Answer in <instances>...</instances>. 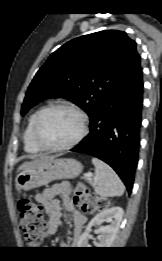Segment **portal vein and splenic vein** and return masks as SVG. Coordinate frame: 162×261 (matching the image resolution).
Instances as JSON below:
<instances>
[{"instance_id":"18ae733b","label":"portal vein and splenic vein","mask_w":162,"mask_h":261,"mask_svg":"<svg viewBox=\"0 0 162 261\" xmlns=\"http://www.w3.org/2000/svg\"><path fill=\"white\" fill-rule=\"evenodd\" d=\"M92 176L93 175L91 173H86L85 174V177L88 178L89 182H92V184H96L97 181L96 180L93 181L92 178H91Z\"/></svg>"}]
</instances>
